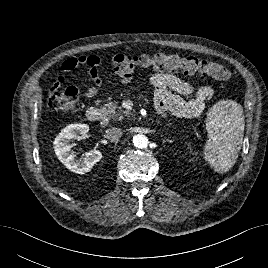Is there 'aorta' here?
<instances>
[{
    "mask_svg": "<svg viewBox=\"0 0 268 268\" xmlns=\"http://www.w3.org/2000/svg\"><path fill=\"white\" fill-rule=\"evenodd\" d=\"M148 138L145 135L137 134L133 137V144L139 149H144L148 146Z\"/></svg>",
    "mask_w": 268,
    "mask_h": 268,
    "instance_id": "1",
    "label": "aorta"
}]
</instances>
